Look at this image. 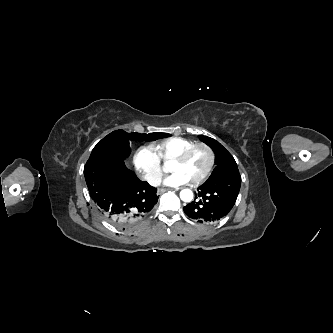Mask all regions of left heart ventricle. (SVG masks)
Returning a JSON list of instances; mask_svg holds the SVG:
<instances>
[{"instance_id":"left-heart-ventricle-1","label":"left heart ventricle","mask_w":333,"mask_h":333,"mask_svg":"<svg viewBox=\"0 0 333 333\" xmlns=\"http://www.w3.org/2000/svg\"><path fill=\"white\" fill-rule=\"evenodd\" d=\"M209 154L203 148L193 150L183 163H172L171 171L183 173L189 181L199 178L207 169Z\"/></svg>"}]
</instances>
